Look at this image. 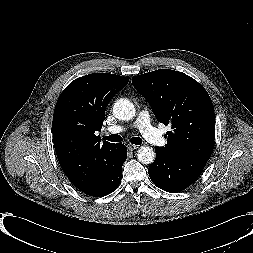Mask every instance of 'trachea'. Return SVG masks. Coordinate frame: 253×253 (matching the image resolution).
<instances>
[{
    "mask_svg": "<svg viewBox=\"0 0 253 253\" xmlns=\"http://www.w3.org/2000/svg\"><path fill=\"white\" fill-rule=\"evenodd\" d=\"M110 142H121L123 141V138L117 134H111L110 136L105 137ZM130 142L135 145H141L142 139L139 137H132L130 139Z\"/></svg>",
    "mask_w": 253,
    "mask_h": 253,
    "instance_id": "1",
    "label": "trachea"
}]
</instances>
